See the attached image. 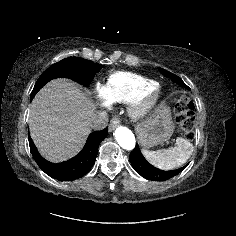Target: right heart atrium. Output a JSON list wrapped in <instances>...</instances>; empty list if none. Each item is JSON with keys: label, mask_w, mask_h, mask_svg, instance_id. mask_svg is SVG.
Wrapping results in <instances>:
<instances>
[{"label": "right heart atrium", "mask_w": 236, "mask_h": 236, "mask_svg": "<svg viewBox=\"0 0 236 236\" xmlns=\"http://www.w3.org/2000/svg\"><path fill=\"white\" fill-rule=\"evenodd\" d=\"M95 91L98 94V96L100 97V99L102 100V105L103 106H109V103L106 101L105 99V85L101 84V83H97L95 85Z\"/></svg>", "instance_id": "obj_1"}]
</instances>
